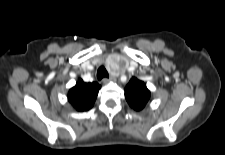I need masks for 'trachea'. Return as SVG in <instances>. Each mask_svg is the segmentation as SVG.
Here are the masks:
<instances>
[{
    "mask_svg": "<svg viewBox=\"0 0 225 155\" xmlns=\"http://www.w3.org/2000/svg\"><path fill=\"white\" fill-rule=\"evenodd\" d=\"M109 74L104 66H101L97 71V78L101 80L102 78H108Z\"/></svg>",
    "mask_w": 225,
    "mask_h": 155,
    "instance_id": "trachea-1",
    "label": "trachea"
}]
</instances>
